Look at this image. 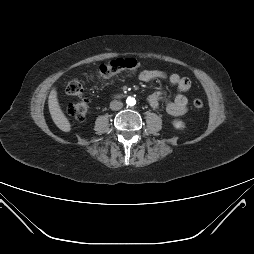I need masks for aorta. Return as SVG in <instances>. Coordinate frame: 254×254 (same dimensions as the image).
Wrapping results in <instances>:
<instances>
[{
  "label": "aorta",
  "mask_w": 254,
  "mask_h": 254,
  "mask_svg": "<svg viewBox=\"0 0 254 254\" xmlns=\"http://www.w3.org/2000/svg\"><path fill=\"white\" fill-rule=\"evenodd\" d=\"M126 103L129 106H134L136 104V99L130 96L126 99Z\"/></svg>",
  "instance_id": "obj_1"
}]
</instances>
